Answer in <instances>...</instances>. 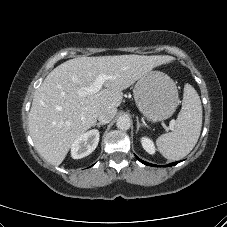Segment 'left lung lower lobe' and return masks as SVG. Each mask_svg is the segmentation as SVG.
Returning <instances> with one entry per match:
<instances>
[{
    "label": "left lung lower lobe",
    "mask_w": 227,
    "mask_h": 227,
    "mask_svg": "<svg viewBox=\"0 0 227 227\" xmlns=\"http://www.w3.org/2000/svg\"><path fill=\"white\" fill-rule=\"evenodd\" d=\"M136 157H137V156H136ZM137 159H138L141 163H143V164H145V165H148V166H157V165H154V164H150V163H148V162H145V161L141 160V159L138 158V157H137ZM177 163H178V162L171 163V164H169V165H166V167H167V166L176 165Z\"/></svg>",
    "instance_id": "obj_1"
}]
</instances>
